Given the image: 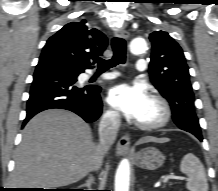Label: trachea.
I'll return each instance as SVG.
<instances>
[{"mask_svg": "<svg viewBox=\"0 0 218 191\" xmlns=\"http://www.w3.org/2000/svg\"><path fill=\"white\" fill-rule=\"evenodd\" d=\"M113 57L109 60L98 59V72H104L118 64H124L126 61V42L124 39L114 37L112 39Z\"/></svg>", "mask_w": 218, "mask_h": 191, "instance_id": "1", "label": "trachea"}]
</instances>
